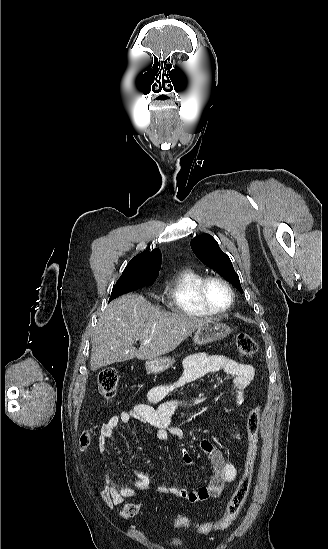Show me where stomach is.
<instances>
[{
	"label": "stomach",
	"instance_id": "obj_1",
	"mask_svg": "<svg viewBox=\"0 0 328 549\" xmlns=\"http://www.w3.org/2000/svg\"><path fill=\"white\" fill-rule=\"evenodd\" d=\"M229 333H231V329L226 323L210 319L206 325H202L200 329H197L196 333H194L193 341L195 345H207V343L224 339ZM174 363L175 359H171V357H156V359H148L146 361L145 369L150 375H158V373H163L166 369H170Z\"/></svg>",
	"mask_w": 328,
	"mask_h": 549
}]
</instances>
